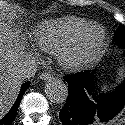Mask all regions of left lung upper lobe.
Masks as SVG:
<instances>
[{
  "label": "left lung upper lobe",
  "instance_id": "5c2ea615",
  "mask_svg": "<svg viewBox=\"0 0 125 125\" xmlns=\"http://www.w3.org/2000/svg\"><path fill=\"white\" fill-rule=\"evenodd\" d=\"M115 42L125 48V26L120 25L115 33Z\"/></svg>",
  "mask_w": 125,
  "mask_h": 125
}]
</instances>
